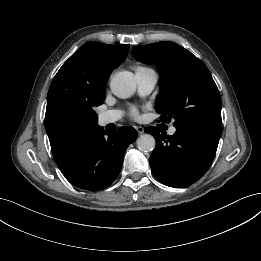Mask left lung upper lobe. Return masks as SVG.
<instances>
[{
    "instance_id": "left-lung-upper-lobe-1",
    "label": "left lung upper lobe",
    "mask_w": 261,
    "mask_h": 261,
    "mask_svg": "<svg viewBox=\"0 0 261 261\" xmlns=\"http://www.w3.org/2000/svg\"><path fill=\"white\" fill-rule=\"evenodd\" d=\"M140 62L160 71L155 106L161 121L175 120L179 129L222 130L221 98L206 65L180 45L162 41L133 47Z\"/></svg>"
}]
</instances>
